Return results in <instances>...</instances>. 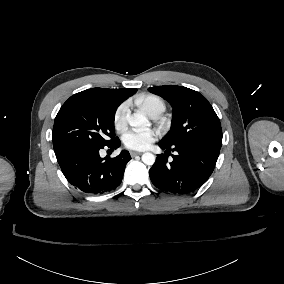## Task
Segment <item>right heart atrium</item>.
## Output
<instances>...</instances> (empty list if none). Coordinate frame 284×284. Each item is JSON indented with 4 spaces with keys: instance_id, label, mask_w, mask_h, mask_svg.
<instances>
[{
    "instance_id": "d8ad5b80",
    "label": "right heart atrium",
    "mask_w": 284,
    "mask_h": 284,
    "mask_svg": "<svg viewBox=\"0 0 284 284\" xmlns=\"http://www.w3.org/2000/svg\"><path fill=\"white\" fill-rule=\"evenodd\" d=\"M127 110H128V103L123 102L117 108L115 115H114V125L116 128H122L126 123L127 117Z\"/></svg>"
}]
</instances>
